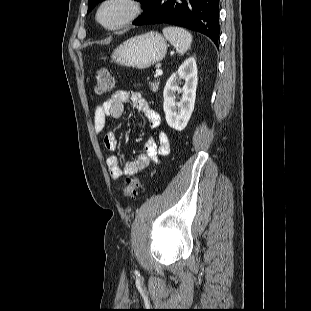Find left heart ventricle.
<instances>
[{
    "label": "left heart ventricle",
    "mask_w": 311,
    "mask_h": 311,
    "mask_svg": "<svg viewBox=\"0 0 311 311\" xmlns=\"http://www.w3.org/2000/svg\"><path fill=\"white\" fill-rule=\"evenodd\" d=\"M125 11L126 9L122 4L112 3L103 9L101 17L106 24L113 25L124 16Z\"/></svg>",
    "instance_id": "obj_1"
}]
</instances>
